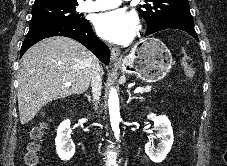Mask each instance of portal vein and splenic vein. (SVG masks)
I'll list each match as a JSON object with an SVG mask.
<instances>
[{"instance_id": "portal-vein-and-splenic-vein-1", "label": "portal vein and splenic vein", "mask_w": 227, "mask_h": 166, "mask_svg": "<svg viewBox=\"0 0 227 166\" xmlns=\"http://www.w3.org/2000/svg\"><path fill=\"white\" fill-rule=\"evenodd\" d=\"M65 85L66 86H71V83L70 82H66L65 83ZM144 91V88H142V87H138V88H136L135 90H134V93H142Z\"/></svg>"}]
</instances>
